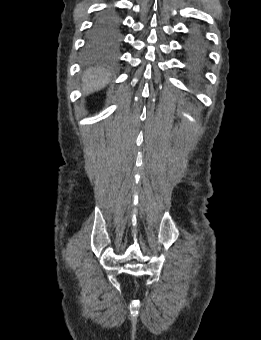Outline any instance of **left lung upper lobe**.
<instances>
[{
  "label": "left lung upper lobe",
  "mask_w": 261,
  "mask_h": 340,
  "mask_svg": "<svg viewBox=\"0 0 261 340\" xmlns=\"http://www.w3.org/2000/svg\"><path fill=\"white\" fill-rule=\"evenodd\" d=\"M190 47L195 51H202L205 49L204 38L200 31L197 30L195 32Z\"/></svg>",
  "instance_id": "1"
}]
</instances>
